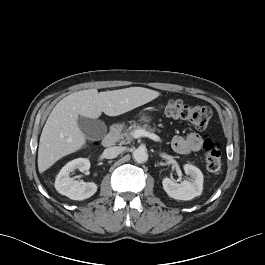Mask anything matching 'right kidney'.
Segmentation results:
<instances>
[{"label": "right kidney", "instance_id": "ca27d5eb", "mask_svg": "<svg viewBox=\"0 0 265 265\" xmlns=\"http://www.w3.org/2000/svg\"><path fill=\"white\" fill-rule=\"evenodd\" d=\"M90 161L87 158H77L68 162L59 172L55 180L56 190L72 200H85L97 191L94 182L77 181L70 177L74 170L81 172L89 170Z\"/></svg>", "mask_w": 265, "mask_h": 265}]
</instances>
